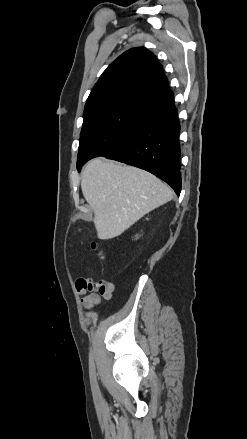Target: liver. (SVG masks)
I'll use <instances>...</instances> for the list:
<instances>
[{
  "label": "liver",
  "mask_w": 247,
  "mask_h": 439,
  "mask_svg": "<svg viewBox=\"0 0 247 439\" xmlns=\"http://www.w3.org/2000/svg\"><path fill=\"white\" fill-rule=\"evenodd\" d=\"M81 189L94 212L97 235L104 240L121 235L173 198L171 188L151 173L101 157L84 168Z\"/></svg>",
  "instance_id": "liver-1"
}]
</instances>
